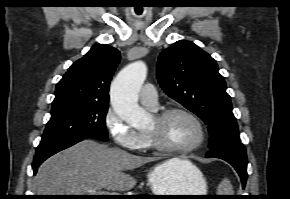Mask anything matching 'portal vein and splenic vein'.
I'll use <instances>...</instances> for the list:
<instances>
[{
    "label": "portal vein and splenic vein",
    "mask_w": 290,
    "mask_h": 199,
    "mask_svg": "<svg viewBox=\"0 0 290 199\" xmlns=\"http://www.w3.org/2000/svg\"><path fill=\"white\" fill-rule=\"evenodd\" d=\"M91 195H114V193H110V192H107V191H96V190H89L88 191Z\"/></svg>",
    "instance_id": "18ae733b"
}]
</instances>
